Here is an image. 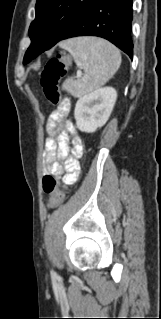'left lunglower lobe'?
<instances>
[{"mask_svg": "<svg viewBox=\"0 0 161 319\" xmlns=\"http://www.w3.org/2000/svg\"><path fill=\"white\" fill-rule=\"evenodd\" d=\"M132 12V0H95L61 40L76 36L102 37L112 42L132 59ZM37 53L24 58V64L34 59Z\"/></svg>", "mask_w": 161, "mask_h": 319, "instance_id": "0a47b994", "label": "left lung lower lobe"}]
</instances>
